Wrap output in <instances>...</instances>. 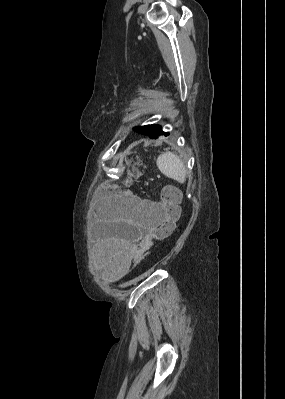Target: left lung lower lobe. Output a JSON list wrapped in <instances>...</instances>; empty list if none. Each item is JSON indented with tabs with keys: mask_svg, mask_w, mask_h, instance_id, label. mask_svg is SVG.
I'll use <instances>...</instances> for the list:
<instances>
[{
	"mask_svg": "<svg viewBox=\"0 0 285 399\" xmlns=\"http://www.w3.org/2000/svg\"><path fill=\"white\" fill-rule=\"evenodd\" d=\"M167 135H169V134H166V136ZM151 139H156L158 136H156V135H148Z\"/></svg>",
	"mask_w": 285,
	"mask_h": 399,
	"instance_id": "0a47b994",
	"label": "left lung lower lobe"
}]
</instances>
